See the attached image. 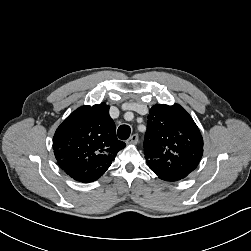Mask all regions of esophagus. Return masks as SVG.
<instances>
[{"instance_id":"34e87169","label":"esophagus","mask_w":251,"mask_h":251,"mask_svg":"<svg viewBox=\"0 0 251 251\" xmlns=\"http://www.w3.org/2000/svg\"><path fill=\"white\" fill-rule=\"evenodd\" d=\"M138 135L137 134H133L132 136H130L127 140H126V144H136L138 142Z\"/></svg>"}]
</instances>
